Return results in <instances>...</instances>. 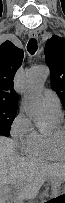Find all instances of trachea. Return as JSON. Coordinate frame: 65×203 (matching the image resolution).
I'll use <instances>...</instances> for the list:
<instances>
[{"mask_svg": "<svg viewBox=\"0 0 65 203\" xmlns=\"http://www.w3.org/2000/svg\"><path fill=\"white\" fill-rule=\"evenodd\" d=\"M37 41L35 39H30L27 44V50L30 54H34L37 51Z\"/></svg>", "mask_w": 65, "mask_h": 203, "instance_id": "3493384b", "label": "trachea"}]
</instances>
